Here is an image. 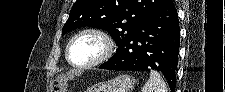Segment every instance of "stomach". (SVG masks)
<instances>
[{
	"label": "stomach",
	"instance_id": "obj_1",
	"mask_svg": "<svg viewBox=\"0 0 225 92\" xmlns=\"http://www.w3.org/2000/svg\"><path fill=\"white\" fill-rule=\"evenodd\" d=\"M134 84L135 80L130 75H120L115 79L90 88L88 92H131Z\"/></svg>",
	"mask_w": 225,
	"mask_h": 92
}]
</instances>
